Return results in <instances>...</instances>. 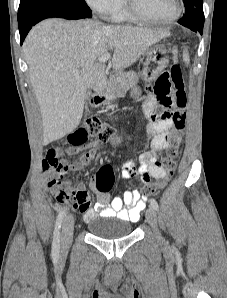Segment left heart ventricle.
I'll list each match as a JSON object with an SVG mask.
<instances>
[{"label":"left heart ventricle","instance_id":"obj_1","mask_svg":"<svg viewBox=\"0 0 227 298\" xmlns=\"http://www.w3.org/2000/svg\"><path fill=\"white\" fill-rule=\"evenodd\" d=\"M139 9L147 16L162 20L175 12L174 0H136Z\"/></svg>","mask_w":227,"mask_h":298}]
</instances>
